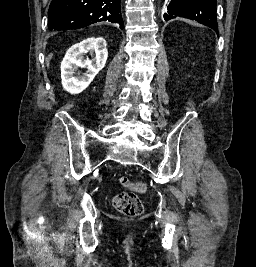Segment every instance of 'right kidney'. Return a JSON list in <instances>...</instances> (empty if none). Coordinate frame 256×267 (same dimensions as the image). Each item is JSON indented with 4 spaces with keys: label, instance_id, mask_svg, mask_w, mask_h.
<instances>
[{
    "label": "right kidney",
    "instance_id": "right-kidney-1",
    "mask_svg": "<svg viewBox=\"0 0 256 267\" xmlns=\"http://www.w3.org/2000/svg\"><path fill=\"white\" fill-rule=\"evenodd\" d=\"M104 38H87L80 44H74L61 62L62 86L69 94H80L88 88L96 74L103 70L108 52ZM93 56L92 60L84 58L85 54ZM95 54V56H94ZM78 68H86L85 74H76Z\"/></svg>",
    "mask_w": 256,
    "mask_h": 267
}]
</instances>
